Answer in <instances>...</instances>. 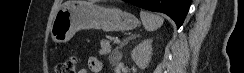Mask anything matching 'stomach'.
Returning a JSON list of instances; mask_svg holds the SVG:
<instances>
[{
    "label": "stomach",
    "mask_w": 244,
    "mask_h": 73,
    "mask_svg": "<svg viewBox=\"0 0 244 73\" xmlns=\"http://www.w3.org/2000/svg\"><path fill=\"white\" fill-rule=\"evenodd\" d=\"M138 24L134 15L120 9L68 0L56 13L50 34L53 42L60 44L68 42L80 29L119 32L133 30Z\"/></svg>",
    "instance_id": "1"
}]
</instances>
